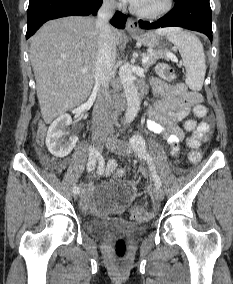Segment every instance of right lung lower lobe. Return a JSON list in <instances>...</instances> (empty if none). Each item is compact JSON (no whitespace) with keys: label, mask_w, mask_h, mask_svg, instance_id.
Wrapping results in <instances>:
<instances>
[{"label":"right lung lower lobe","mask_w":233,"mask_h":284,"mask_svg":"<svg viewBox=\"0 0 233 284\" xmlns=\"http://www.w3.org/2000/svg\"><path fill=\"white\" fill-rule=\"evenodd\" d=\"M102 0H30L27 11L26 38L32 36L46 21L72 15H96ZM127 16L116 12L111 24L125 28Z\"/></svg>","instance_id":"98d812e1"}]
</instances>
